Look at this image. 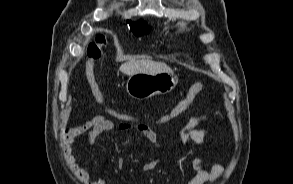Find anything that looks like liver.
Wrapping results in <instances>:
<instances>
[{
  "label": "liver",
  "mask_w": 293,
  "mask_h": 184,
  "mask_svg": "<svg viewBox=\"0 0 293 184\" xmlns=\"http://www.w3.org/2000/svg\"><path fill=\"white\" fill-rule=\"evenodd\" d=\"M120 71L126 75H134L136 73H161L172 72V69L162 62H155L148 59H131L120 66Z\"/></svg>",
  "instance_id": "liver-1"
}]
</instances>
